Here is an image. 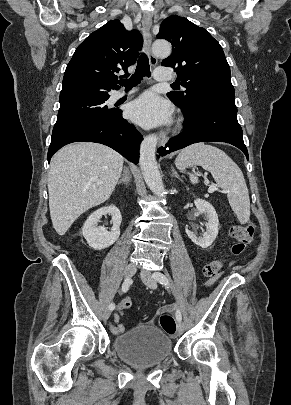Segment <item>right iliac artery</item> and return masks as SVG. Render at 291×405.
<instances>
[{
  "mask_svg": "<svg viewBox=\"0 0 291 405\" xmlns=\"http://www.w3.org/2000/svg\"><path fill=\"white\" fill-rule=\"evenodd\" d=\"M130 283H131L130 278H126L125 281L122 284V292L123 293H126L129 290ZM114 308H115V304L111 303L109 305V309L112 311V310H114Z\"/></svg>",
  "mask_w": 291,
  "mask_h": 405,
  "instance_id": "82829eb1",
  "label": "right iliac artery"
}]
</instances>
